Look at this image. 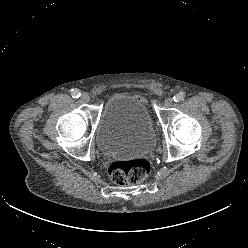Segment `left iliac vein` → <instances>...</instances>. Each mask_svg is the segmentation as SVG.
I'll return each instance as SVG.
<instances>
[{"label":"left iliac vein","mask_w":248,"mask_h":248,"mask_svg":"<svg viewBox=\"0 0 248 248\" xmlns=\"http://www.w3.org/2000/svg\"><path fill=\"white\" fill-rule=\"evenodd\" d=\"M172 104H173V99L171 97H168L165 99V101H164L165 107H171Z\"/></svg>","instance_id":"4c4485c4"}]
</instances>
